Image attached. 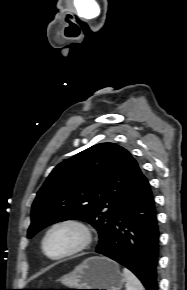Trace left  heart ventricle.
<instances>
[{
    "label": "left heart ventricle",
    "instance_id": "1",
    "mask_svg": "<svg viewBox=\"0 0 187 290\" xmlns=\"http://www.w3.org/2000/svg\"><path fill=\"white\" fill-rule=\"evenodd\" d=\"M79 234L72 228H59L55 230L46 242V250L50 255H60L79 242Z\"/></svg>",
    "mask_w": 187,
    "mask_h": 290
}]
</instances>
